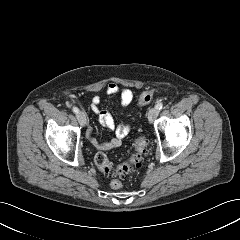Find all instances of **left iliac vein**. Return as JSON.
Returning <instances> with one entry per match:
<instances>
[{"instance_id": "obj_1", "label": "left iliac vein", "mask_w": 240, "mask_h": 240, "mask_svg": "<svg viewBox=\"0 0 240 240\" xmlns=\"http://www.w3.org/2000/svg\"><path fill=\"white\" fill-rule=\"evenodd\" d=\"M158 114H159V110L156 107L151 108L148 111V120H149V122L152 123L156 119Z\"/></svg>"}]
</instances>
